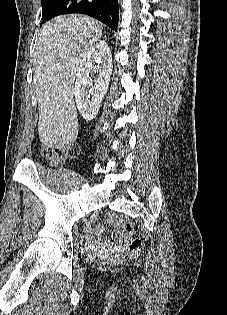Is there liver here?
Returning <instances> with one entry per match:
<instances>
[{"instance_id": "6515ba94", "label": "liver", "mask_w": 227, "mask_h": 315, "mask_svg": "<svg viewBox=\"0 0 227 315\" xmlns=\"http://www.w3.org/2000/svg\"><path fill=\"white\" fill-rule=\"evenodd\" d=\"M102 31L99 21L80 14L55 17L40 31L32 60L33 81L39 110V139L47 147H65L77 138L75 76Z\"/></svg>"}]
</instances>
